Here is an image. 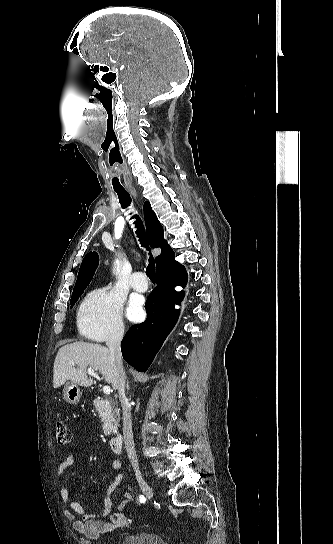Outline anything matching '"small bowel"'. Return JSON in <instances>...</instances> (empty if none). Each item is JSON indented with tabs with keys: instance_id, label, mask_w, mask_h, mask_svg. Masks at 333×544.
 <instances>
[{
	"instance_id": "1",
	"label": "small bowel",
	"mask_w": 333,
	"mask_h": 544,
	"mask_svg": "<svg viewBox=\"0 0 333 544\" xmlns=\"http://www.w3.org/2000/svg\"><path fill=\"white\" fill-rule=\"evenodd\" d=\"M74 462V457L70 454L60 462L57 470V477L60 485V497L65 507V516L73 524L76 531L83 533L85 536L95 539L103 533H112L124 528L127 525V517L121 511L124 510L132 501L133 496L130 492L123 493V500L115 506V512L112 511L113 504L111 495L123 481V474L117 473L112 483L108 486L106 497L104 499V509L101 514H92L83 508V506L70 499V494L67 487L63 484L66 470ZM121 462L114 459L111 462V467L119 471Z\"/></svg>"
}]
</instances>
